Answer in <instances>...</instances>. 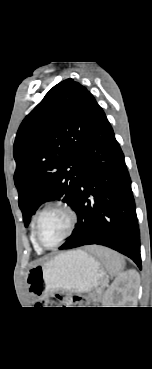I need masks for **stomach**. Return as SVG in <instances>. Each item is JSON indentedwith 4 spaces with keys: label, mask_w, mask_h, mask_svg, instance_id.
I'll return each mask as SVG.
<instances>
[{
    "label": "stomach",
    "mask_w": 152,
    "mask_h": 369,
    "mask_svg": "<svg viewBox=\"0 0 152 369\" xmlns=\"http://www.w3.org/2000/svg\"><path fill=\"white\" fill-rule=\"evenodd\" d=\"M105 272L100 263L85 252L68 251L52 261L31 267L26 276L29 291L37 298L55 290L89 292Z\"/></svg>",
    "instance_id": "1"
}]
</instances>
